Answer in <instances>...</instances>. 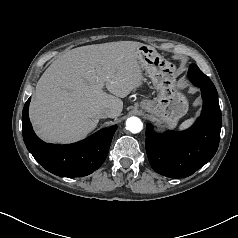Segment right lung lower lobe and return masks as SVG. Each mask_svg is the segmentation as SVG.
Masks as SVG:
<instances>
[{
	"instance_id": "98d812e1",
	"label": "right lung lower lobe",
	"mask_w": 238,
	"mask_h": 238,
	"mask_svg": "<svg viewBox=\"0 0 238 238\" xmlns=\"http://www.w3.org/2000/svg\"><path fill=\"white\" fill-rule=\"evenodd\" d=\"M29 103L30 98L22 112L23 139L27 149L40 165L60 177L86 176L101 166L107 157L116 125L74 144L44 143L32 129L28 115Z\"/></svg>"
}]
</instances>
